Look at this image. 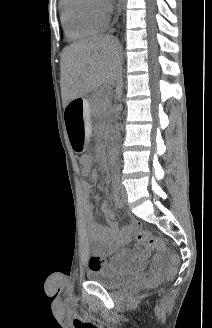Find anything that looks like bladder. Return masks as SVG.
<instances>
[{
  "instance_id": "31cf9c89",
  "label": "bladder",
  "mask_w": 212,
  "mask_h": 328,
  "mask_svg": "<svg viewBox=\"0 0 212 328\" xmlns=\"http://www.w3.org/2000/svg\"><path fill=\"white\" fill-rule=\"evenodd\" d=\"M86 275L90 281L97 282L111 290L121 289L130 284L137 277L135 273H121L97 269L88 271Z\"/></svg>"
}]
</instances>
